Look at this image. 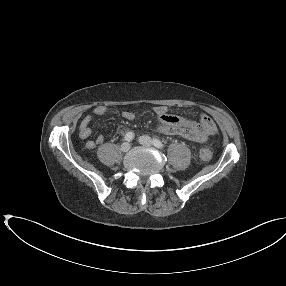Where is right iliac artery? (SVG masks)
Segmentation results:
<instances>
[{"label":"right iliac artery","instance_id":"82829eb1","mask_svg":"<svg viewBox=\"0 0 286 286\" xmlns=\"http://www.w3.org/2000/svg\"><path fill=\"white\" fill-rule=\"evenodd\" d=\"M125 140L126 141H128V142H130L131 140H133V138H134V133L132 132V131H130V132H127L126 134H125Z\"/></svg>","mask_w":286,"mask_h":286}]
</instances>
